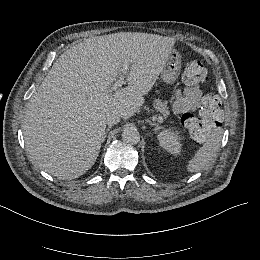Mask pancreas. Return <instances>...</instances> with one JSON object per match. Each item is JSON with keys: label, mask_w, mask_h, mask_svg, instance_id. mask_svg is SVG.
<instances>
[{"label": "pancreas", "mask_w": 260, "mask_h": 260, "mask_svg": "<svg viewBox=\"0 0 260 260\" xmlns=\"http://www.w3.org/2000/svg\"><path fill=\"white\" fill-rule=\"evenodd\" d=\"M167 104V101H162L161 99H155L153 103L154 108L163 115L164 119L170 114Z\"/></svg>", "instance_id": "1"}]
</instances>
